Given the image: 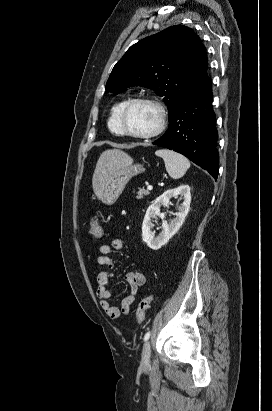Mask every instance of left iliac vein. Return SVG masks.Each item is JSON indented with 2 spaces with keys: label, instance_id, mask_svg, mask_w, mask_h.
<instances>
[{
  "label": "left iliac vein",
  "instance_id": "left-iliac-vein-1",
  "mask_svg": "<svg viewBox=\"0 0 272 411\" xmlns=\"http://www.w3.org/2000/svg\"><path fill=\"white\" fill-rule=\"evenodd\" d=\"M150 355H151L150 342H149V341H146V342L144 343L143 349H142L141 365H142L143 367L149 365Z\"/></svg>",
  "mask_w": 272,
  "mask_h": 411
}]
</instances>
